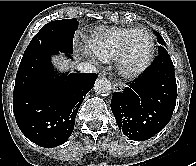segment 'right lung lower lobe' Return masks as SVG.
<instances>
[{
  "label": "right lung lower lobe",
  "instance_id": "1",
  "mask_svg": "<svg viewBox=\"0 0 196 166\" xmlns=\"http://www.w3.org/2000/svg\"><path fill=\"white\" fill-rule=\"evenodd\" d=\"M57 53L58 50L46 49L24 55L13 94L18 127L29 140L44 148L68 140L83 97L97 79L95 73L55 75L50 57Z\"/></svg>",
  "mask_w": 196,
  "mask_h": 166
}]
</instances>
